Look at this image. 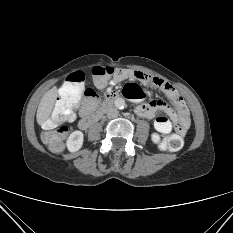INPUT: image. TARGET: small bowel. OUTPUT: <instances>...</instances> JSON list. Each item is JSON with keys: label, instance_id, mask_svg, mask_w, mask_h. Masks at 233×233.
<instances>
[{"label": "small bowel", "instance_id": "1", "mask_svg": "<svg viewBox=\"0 0 233 233\" xmlns=\"http://www.w3.org/2000/svg\"><path fill=\"white\" fill-rule=\"evenodd\" d=\"M129 79L161 91L172 104L170 106L162 100H152L146 103L141 88L137 84H128L125 86L124 93L134 102L135 112L143 118L154 119V127L161 134H167L174 130L179 135H184L190 126V116L178 91L160 78L124 68L115 70L109 84L114 86ZM107 92H111V87L107 88ZM95 105L96 103H91L87 99L83 102L79 109L82 119L92 113Z\"/></svg>", "mask_w": 233, "mask_h": 233}]
</instances>
